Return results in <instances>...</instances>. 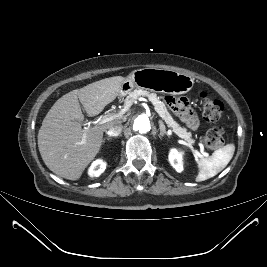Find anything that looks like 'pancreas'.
<instances>
[{"mask_svg":"<svg viewBox=\"0 0 267 267\" xmlns=\"http://www.w3.org/2000/svg\"><path fill=\"white\" fill-rule=\"evenodd\" d=\"M140 96L147 97L152 102L156 112L165 121L168 127L172 128V131L177 136L187 141V143L190 145L194 144L195 140L192 139V133L188 132L186 128L180 127V125L176 123V121H174L171 114L168 112L164 102L160 101L159 97L155 93H150L142 89H136L130 92L129 95L125 98V105H132Z\"/></svg>","mask_w":267,"mask_h":267,"instance_id":"cf45deb5","label":"pancreas"}]
</instances>
